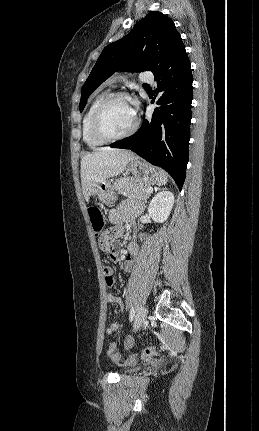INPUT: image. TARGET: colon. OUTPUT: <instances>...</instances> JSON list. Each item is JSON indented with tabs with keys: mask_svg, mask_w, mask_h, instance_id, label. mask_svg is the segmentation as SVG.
Returning a JSON list of instances; mask_svg holds the SVG:
<instances>
[{
	"mask_svg": "<svg viewBox=\"0 0 259 431\" xmlns=\"http://www.w3.org/2000/svg\"><path fill=\"white\" fill-rule=\"evenodd\" d=\"M90 222L94 231V234L99 238V246L103 254L108 260L115 261L117 259V251L112 240L105 236L104 226L105 220L102 211L97 207H90L88 209ZM108 355L116 363H122L123 359L116 349L114 343H111L108 347ZM157 355L155 347H147L140 355L141 359H149Z\"/></svg>",
	"mask_w": 259,
	"mask_h": 431,
	"instance_id": "5ec220e1",
	"label": "colon"
}]
</instances>
